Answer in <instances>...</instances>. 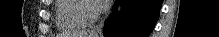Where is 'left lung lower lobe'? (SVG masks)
<instances>
[{
    "instance_id": "left-lung-lower-lobe-1",
    "label": "left lung lower lobe",
    "mask_w": 219,
    "mask_h": 37,
    "mask_svg": "<svg viewBox=\"0 0 219 37\" xmlns=\"http://www.w3.org/2000/svg\"><path fill=\"white\" fill-rule=\"evenodd\" d=\"M121 2V0H117ZM162 0H125L123 9L106 19L105 37H148L160 14Z\"/></svg>"
}]
</instances>
